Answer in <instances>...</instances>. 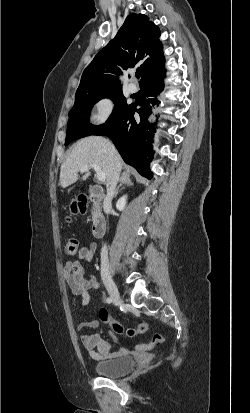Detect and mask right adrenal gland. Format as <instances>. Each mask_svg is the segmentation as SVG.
Segmentation results:
<instances>
[{
  "label": "right adrenal gland",
  "mask_w": 250,
  "mask_h": 413,
  "mask_svg": "<svg viewBox=\"0 0 250 413\" xmlns=\"http://www.w3.org/2000/svg\"><path fill=\"white\" fill-rule=\"evenodd\" d=\"M123 186H133V183L130 179V175L127 173H123L119 180V185L114 193V197L117 196L119 189Z\"/></svg>",
  "instance_id": "1"
}]
</instances>
